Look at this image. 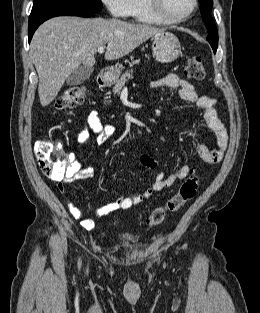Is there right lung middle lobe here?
I'll list each match as a JSON object with an SVG mask.
<instances>
[{
	"instance_id": "obj_1",
	"label": "right lung middle lobe",
	"mask_w": 260,
	"mask_h": 313,
	"mask_svg": "<svg viewBox=\"0 0 260 313\" xmlns=\"http://www.w3.org/2000/svg\"><path fill=\"white\" fill-rule=\"evenodd\" d=\"M102 8L101 0H34L32 12L61 10L98 13Z\"/></svg>"
}]
</instances>
